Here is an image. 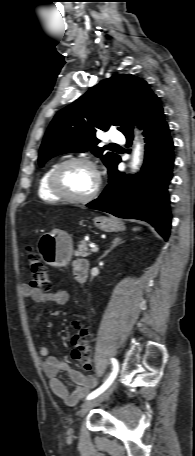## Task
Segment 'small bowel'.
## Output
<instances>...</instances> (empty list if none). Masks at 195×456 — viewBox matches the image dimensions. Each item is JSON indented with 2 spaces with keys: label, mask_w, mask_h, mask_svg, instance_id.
<instances>
[{
  "label": "small bowel",
  "mask_w": 195,
  "mask_h": 456,
  "mask_svg": "<svg viewBox=\"0 0 195 456\" xmlns=\"http://www.w3.org/2000/svg\"><path fill=\"white\" fill-rule=\"evenodd\" d=\"M81 260H76L73 264V269L76 272V267ZM22 293L25 297L32 299L35 302H54L56 304H64L69 297L65 289L58 288L51 292H43L39 289L32 288L29 285L22 287ZM39 355L42 358V367L45 375L49 378V386L52 392L64 400L69 406L76 405L92 388L97 385V380L91 375H84L78 370L69 366L65 361L51 356L47 347L39 349ZM60 372L68 373L70 379L77 385L73 392H69L64 383L57 377Z\"/></svg>",
  "instance_id": "small-bowel-1"
}]
</instances>
